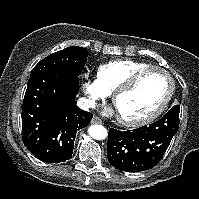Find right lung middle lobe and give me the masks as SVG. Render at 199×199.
I'll list each match as a JSON object with an SVG mask.
<instances>
[{
  "label": "right lung middle lobe",
  "mask_w": 199,
  "mask_h": 199,
  "mask_svg": "<svg viewBox=\"0 0 199 199\" xmlns=\"http://www.w3.org/2000/svg\"><path fill=\"white\" fill-rule=\"evenodd\" d=\"M88 50L86 48L72 46L52 53L32 69V73L40 70L61 69L70 72L77 77L81 74L87 62Z\"/></svg>",
  "instance_id": "right-lung-middle-lobe-1"
}]
</instances>
